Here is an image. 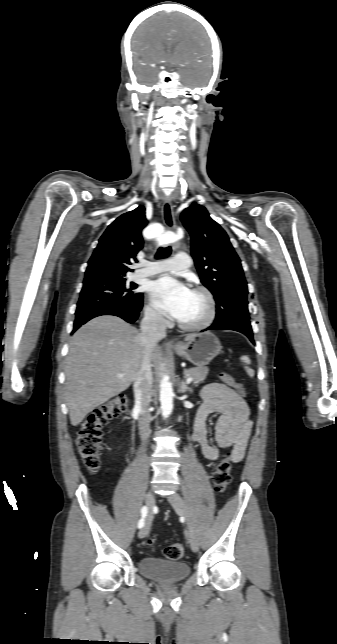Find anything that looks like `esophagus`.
Returning a JSON list of instances; mask_svg holds the SVG:
<instances>
[{"label":"esophagus","instance_id":"obj_1","mask_svg":"<svg viewBox=\"0 0 337 644\" xmlns=\"http://www.w3.org/2000/svg\"><path fill=\"white\" fill-rule=\"evenodd\" d=\"M162 218L165 226L169 230H175L176 225H175V220H174V212H173V205H172V200L171 198H165L163 205H162ZM173 248H177V243L173 244ZM171 344H173L171 342Z\"/></svg>","mask_w":337,"mask_h":644}]
</instances>
